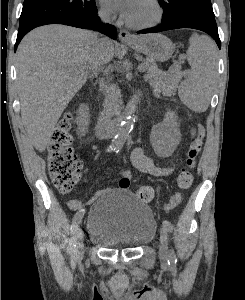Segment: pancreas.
<instances>
[{"mask_svg": "<svg viewBox=\"0 0 245 300\" xmlns=\"http://www.w3.org/2000/svg\"><path fill=\"white\" fill-rule=\"evenodd\" d=\"M147 70V81L157 94L162 93L170 97L178 88V83L182 79V73L178 68L173 67L169 71L160 70L153 60H146L144 63ZM121 108L120 90L115 86H110L105 94L104 109L109 113H116Z\"/></svg>", "mask_w": 245, "mask_h": 300, "instance_id": "pancreas-1", "label": "pancreas"}]
</instances>
